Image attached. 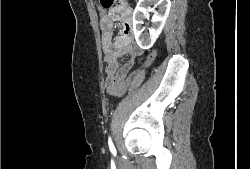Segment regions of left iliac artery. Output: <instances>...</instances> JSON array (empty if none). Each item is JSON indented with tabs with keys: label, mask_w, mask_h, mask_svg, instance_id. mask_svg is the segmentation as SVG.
I'll list each match as a JSON object with an SVG mask.
<instances>
[{
	"label": "left iliac artery",
	"mask_w": 250,
	"mask_h": 169,
	"mask_svg": "<svg viewBox=\"0 0 250 169\" xmlns=\"http://www.w3.org/2000/svg\"><path fill=\"white\" fill-rule=\"evenodd\" d=\"M108 144H109V149H110V151H111V152H115L116 149H115V147H114V145H113V143H112L110 137H109V139H108Z\"/></svg>",
	"instance_id": "left-iliac-artery-1"
}]
</instances>
